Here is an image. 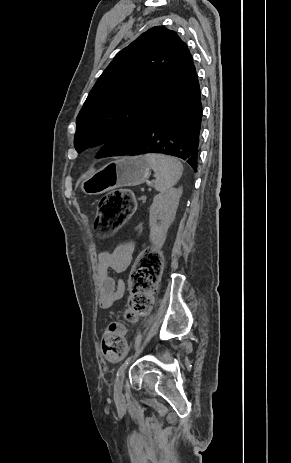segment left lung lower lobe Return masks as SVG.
<instances>
[{"label": "left lung lower lobe", "mask_w": 291, "mask_h": 463, "mask_svg": "<svg viewBox=\"0 0 291 463\" xmlns=\"http://www.w3.org/2000/svg\"><path fill=\"white\" fill-rule=\"evenodd\" d=\"M202 121L201 93L197 74L182 87L137 144L123 155L165 154L198 166Z\"/></svg>", "instance_id": "1"}]
</instances>
